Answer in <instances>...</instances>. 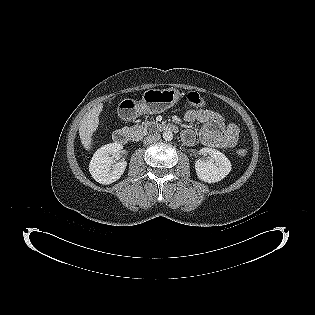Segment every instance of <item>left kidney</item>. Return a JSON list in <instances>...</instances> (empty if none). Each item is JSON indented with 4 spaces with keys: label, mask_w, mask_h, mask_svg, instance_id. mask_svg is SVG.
<instances>
[{
    "label": "left kidney",
    "mask_w": 315,
    "mask_h": 315,
    "mask_svg": "<svg viewBox=\"0 0 315 315\" xmlns=\"http://www.w3.org/2000/svg\"><path fill=\"white\" fill-rule=\"evenodd\" d=\"M201 155H209L208 160L199 159L195 163L197 176L207 183H215L225 178L231 171L230 160L220 151L212 148H202Z\"/></svg>",
    "instance_id": "left-kidney-1"
}]
</instances>
